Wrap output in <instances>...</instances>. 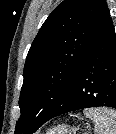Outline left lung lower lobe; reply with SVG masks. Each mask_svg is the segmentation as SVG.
Listing matches in <instances>:
<instances>
[{
	"mask_svg": "<svg viewBox=\"0 0 116 134\" xmlns=\"http://www.w3.org/2000/svg\"><path fill=\"white\" fill-rule=\"evenodd\" d=\"M116 109V36L111 17L93 42L75 79L71 97L49 117L91 107Z\"/></svg>",
	"mask_w": 116,
	"mask_h": 134,
	"instance_id": "left-lung-lower-lobe-1",
	"label": "left lung lower lobe"
}]
</instances>
